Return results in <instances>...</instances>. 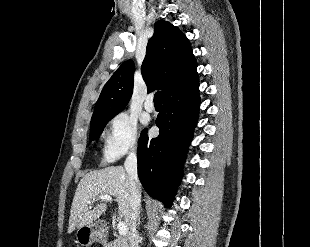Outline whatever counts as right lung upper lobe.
<instances>
[{"label":"right lung upper lobe","mask_w":310,"mask_h":247,"mask_svg":"<svg viewBox=\"0 0 310 247\" xmlns=\"http://www.w3.org/2000/svg\"><path fill=\"white\" fill-rule=\"evenodd\" d=\"M197 62L186 36L167 21L155 23L141 70L148 92L161 89L163 98L199 81ZM134 63L125 61L105 84L91 123L115 116L127 105L133 90Z\"/></svg>","instance_id":"1"}]
</instances>
